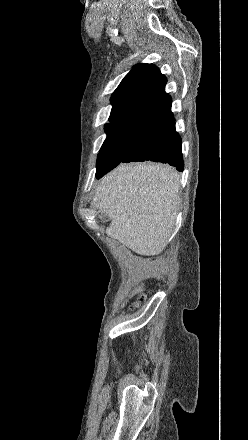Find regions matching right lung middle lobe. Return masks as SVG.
<instances>
[{
  "mask_svg": "<svg viewBox=\"0 0 248 440\" xmlns=\"http://www.w3.org/2000/svg\"><path fill=\"white\" fill-rule=\"evenodd\" d=\"M132 131H122L106 138L97 158L96 178L99 179L121 163L128 137Z\"/></svg>",
  "mask_w": 248,
  "mask_h": 440,
  "instance_id": "right-lung-middle-lobe-1",
  "label": "right lung middle lobe"
}]
</instances>
